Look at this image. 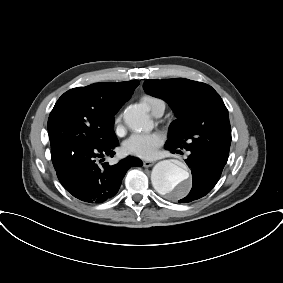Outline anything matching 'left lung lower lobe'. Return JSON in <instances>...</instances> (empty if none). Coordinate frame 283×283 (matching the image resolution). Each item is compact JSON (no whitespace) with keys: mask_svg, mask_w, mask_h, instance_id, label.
<instances>
[{"mask_svg":"<svg viewBox=\"0 0 283 283\" xmlns=\"http://www.w3.org/2000/svg\"><path fill=\"white\" fill-rule=\"evenodd\" d=\"M165 148L174 153L178 148L165 145ZM186 160L192 170L193 185L190 193L179 202H191L205 196L218 182L222 170L227 162L226 157H211L197 150H188Z\"/></svg>","mask_w":283,"mask_h":283,"instance_id":"left-lung-lower-lobe-1","label":"left lung lower lobe"}]
</instances>
